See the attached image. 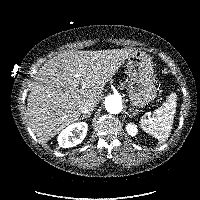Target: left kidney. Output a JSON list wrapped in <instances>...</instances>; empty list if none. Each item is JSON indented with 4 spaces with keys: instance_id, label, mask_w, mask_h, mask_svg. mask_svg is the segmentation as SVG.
I'll list each match as a JSON object with an SVG mask.
<instances>
[{
    "instance_id": "left-kidney-1",
    "label": "left kidney",
    "mask_w": 200,
    "mask_h": 200,
    "mask_svg": "<svg viewBox=\"0 0 200 200\" xmlns=\"http://www.w3.org/2000/svg\"><path fill=\"white\" fill-rule=\"evenodd\" d=\"M126 131L129 135L131 136H136L137 133H138V128H137V125L134 124V123H128L126 125Z\"/></svg>"
}]
</instances>
